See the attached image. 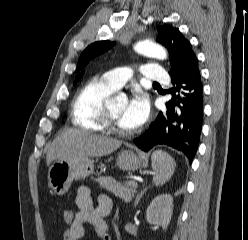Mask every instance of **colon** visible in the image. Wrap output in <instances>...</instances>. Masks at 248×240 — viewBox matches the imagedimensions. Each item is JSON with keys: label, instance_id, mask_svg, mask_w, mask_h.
<instances>
[{"label": "colon", "instance_id": "5ec220e1", "mask_svg": "<svg viewBox=\"0 0 248 240\" xmlns=\"http://www.w3.org/2000/svg\"><path fill=\"white\" fill-rule=\"evenodd\" d=\"M74 215H75V212L73 209L71 208H65L63 211H62V219L64 221V223L66 225H69L73 218H74Z\"/></svg>", "mask_w": 248, "mask_h": 240}]
</instances>
